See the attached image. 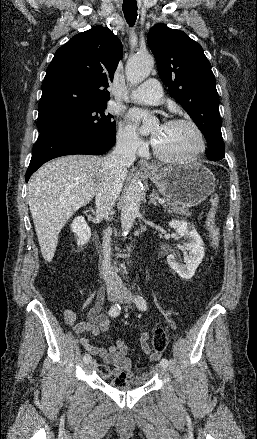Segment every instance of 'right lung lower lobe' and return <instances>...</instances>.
<instances>
[{"label":"right lung lower lobe","mask_w":257,"mask_h":439,"mask_svg":"<svg viewBox=\"0 0 257 439\" xmlns=\"http://www.w3.org/2000/svg\"><path fill=\"white\" fill-rule=\"evenodd\" d=\"M116 137L77 127L61 126L40 132L32 150V158L26 172V182L45 162L64 155H101L115 144Z\"/></svg>","instance_id":"right-lung-lower-lobe-1"}]
</instances>
